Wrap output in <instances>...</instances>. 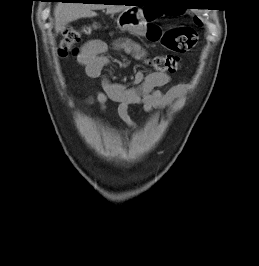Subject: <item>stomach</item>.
<instances>
[{"instance_id": "0dacf381", "label": "stomach", "mask_w": 259, "mask_h": 266, "mask_svg": "<svg viewBox=\"0 0 259 266\" xmlns=\"http://www.w3.org/2000/svg\"><path fill=\"white\" fill-rule=\"evenodd\" d=\"M117 25L122 31H129L137 35H143L146 31V23L140 11L135 9H126L118 19Z\"/></svg>"}]
</instances>
